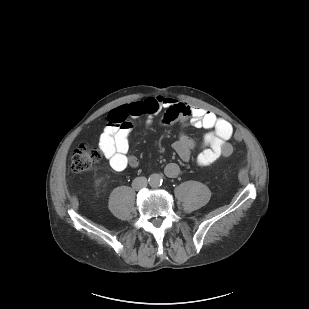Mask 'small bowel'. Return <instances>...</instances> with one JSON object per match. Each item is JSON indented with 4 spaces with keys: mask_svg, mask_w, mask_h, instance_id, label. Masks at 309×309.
Returning a JSON list of instances; mask_svg holds the SVG:
<instances>
[{
    "mask_svg": "<svg viewBox=\"0 0 309 309\" xmlns=\"http://www.w3.org/2000/svg\"><path fill=\"white\" fill-rule=\"evenodd\" d=\"M161 110H165L163 121L166 123L180 121L207 130L203 139L204 148L196 157L199 166H209L217 159L232 154L233 147L229 140L233 136V127L227 120L201 107L180 103L171 97L156 96L133 101L111 111L99 138V148L113 170L119 172L127 167L138 166V159L129 155L130 119L142 115L153 116ZM194 146V140L185 133H181L174 143V149L183 162L190 160ZM179 173L180 167L175 163L165 167V174L169 178H175Z\"/></svg>",
    "mask_w": 309,
    "mask_h": 309,
    "instance_id": "c3829d8e",
    "label": "small bowel"
}]
</instances>
